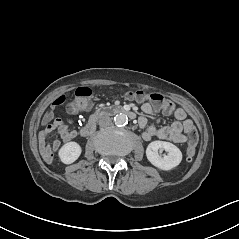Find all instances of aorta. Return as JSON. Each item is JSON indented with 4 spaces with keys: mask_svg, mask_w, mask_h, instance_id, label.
Listing matches in <instances>:
<instances>
[{
    "mask_svg": "<svg viewBox=\"0 0 239 239\" xmlns=\"http://www.w3.org/2000/svg\"><path fill=\"white\" fill-rule=\"evenodd\" d=\"M114 123L118 127H124L128 124V117L125 114H118L114 118Z\"/></svg>",
    "mask_w": 239,
    "mask_h": 239,
    "instance_id": "1",
    "label": "aorta"
}]
</instances>
